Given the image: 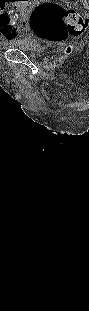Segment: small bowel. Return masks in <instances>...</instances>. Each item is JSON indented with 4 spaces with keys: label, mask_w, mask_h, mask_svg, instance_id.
<instances>
[{
    "label": "small bowel",
    "mask_w": 89,
    "mask_h": 311,
    "mask_svg": "<svg viewBox=\"0 0 89 311\" xmlns=\"http://www.w3.org/2000/svg\"><path fill=\"white\" fill-rule=\"evenodd\" d=\"M2 34L4 37L5 43L10 44V43L14 42L15 37L17 36V31H15V29L10 28L8 25L5 24Z\"/></svg>",
    "instance_id": "c3829d8e"
}]
</instances>
